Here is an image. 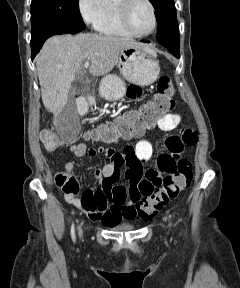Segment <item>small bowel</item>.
I'll return each mask as SVG.
<instances>
[{
    "label": "small bowel",
    "mask_w": 240,
    "mask_h": 288,
    "mask_svg": "<svg viewBox=\"0 0 240 288\" xmlns=\"http://www.w3.org/2000/svg\"><path fill=\"white\" fill-rule=\"evenodd\" d=\"M141 94V88L135 85L129 86L126 91L129 99H136ZM180 124L181 116L177 113L166 114L157 121L159 129L166 132L177 129ZM142 134L143 130H140L124 137H141ZM91 137L105 142L113 140L105 127L93 131ZM197 141L198 135L191 128H182L178 134L167 137L165 146L168 152L160 154L157 167L146 172L143 171V165L152 156V146L147 140H140L135 146H127L123 152H118L110 146L96 150L87 147L85 143L74 144L70 147V151L75 157L85 155L93 157L98 152L110 161L103 168L94 171V176L99 180L96 189L85 191L81 198L66 195V199L81 209L91 220L99 221L106 226H115L123 219H133L136 213L131 195L141 197L151 194L155 187L162 184L166 175L175 171L184 147L193 146ZM123 166L126 168L127 186L120 182ZM74 168L75 165L71 161L64 165L67 173H71Z\"/></svg>",
    "instance_id": "obj_1"
}]
</instances>
